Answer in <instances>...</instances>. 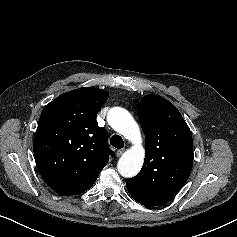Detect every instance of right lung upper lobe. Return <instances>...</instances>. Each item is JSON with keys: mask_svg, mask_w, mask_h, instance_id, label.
Masks as SVG:
<instances>
[{"mask_svg": "<svg viewBox=\"0 0 237 237\" xmlns=\"http://www.w3.org/2000/svg\"><path fill=\"white\" fill-rule=\"evenodd\" d=\"M108 95L97 88H78L44 107L33 149L40 175L54 191L76 195L90 189L109 155L114 156L107 131L96 122Z\"/></svg>", "mask_w": 237, "mask_h": 237, "instance_id": "1", "label": "right lung upper lobe"}]
</instances>
